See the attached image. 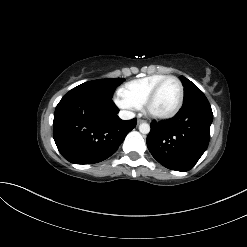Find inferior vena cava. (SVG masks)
<instances>
[{
  "mask_svg": "<svg viewBox=\"0 0 247 247\" xmlns=\"http://www.w3.org/2000/svg\"><path fill=\"white\" fill-rule=\"evenodd\" d=\"M119 117L123 120H129L135 117V114L131 111L122 110L119 112Z\"/></svg>",
  "mask_w": 247,
  "mask_h": 247,
  "instance_id": "602c4592",
  "label": "inferior vena cava"
}]
</instances>
